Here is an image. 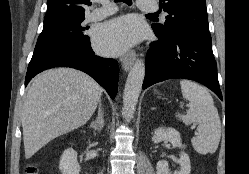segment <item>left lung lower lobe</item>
<instances>
[{"label": "left lung lower lobe", "instance_id": "0a47b994", "mask_svg": "<svg viewBox=\"0 0 249 174\" xmlns=\"http://www.w3.org/2000/svg\"><path fill=\"white\" fill-rule=\"evenodd\" d=\"M146 54L143 88L172 78L190 79L211 89L221 100L211 36L165 39L156 34Z\"/></svg>", "mask_w": 249, "mask_h": 174}]
</instances>
